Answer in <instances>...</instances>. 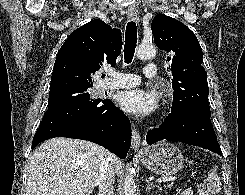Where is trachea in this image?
Segmentation results:
<instances>
[{"mask_svg":"<svg viewBox=\"0 0 245 195\" xmlns=\"http://www.w3.org/2000/svg\"><path fill=\"white\" fill-rule=\"evenodd\" d=\"M136 46H137V26L134 21H130L126 26V32H125V45H124L125 63L129 64L132 62Z\"/></svg>","mask_w":245,"mask_h":195,"instance_id":"obj_1","label":"trachea"}]
</instances>
